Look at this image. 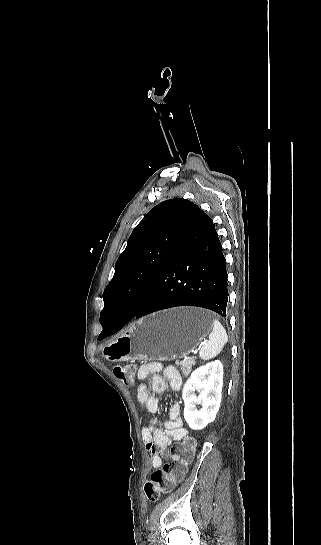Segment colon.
<instances>
[{
	"mask_svg": "<svg viewBox=\"0 0 321 545\" xmlns=\"http://www.w3.org/2000/svg\"><path fill=\"white\" fill-rule=\"evenodd\" d=\"M114 376L125 385L134 382V368L129 364H117L112 368ZM194 456V441L184 439L171 447L168 461L155 470L144 485L148 500L157 501L161 496L170 493L185 476L188 464Z\"/></svg>",
	"mask_w": 321,
	"mask_h": 545,
	"instance_id": "1",
	"label": "colon"
}]
</instances>
